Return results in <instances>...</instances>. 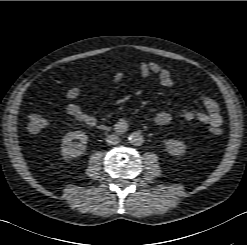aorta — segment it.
I'll use <instances>...</instances> for the list:
<instances>
[{
  "label": "aorta",
  "instance_id": "aorta-1",
  "mask_svg": "<svg viewBox=\"0 0 247 245\" xmlns=\"http://www.w3.org/2000/svg\"><path fill=\"white\" fill-rule=\"evenodd\" d=\"M128 140L133 146H141L144 142L143 135L139 132H133L128 137Z\"/></svg>",
  "mask_w": 247,
  "mask_h": 245
}]
</instances>
